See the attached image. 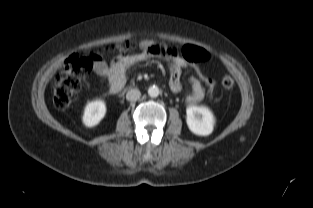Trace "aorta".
I'll use <instances>...</instances> for the list:
<instances>
[{
    "instance_id": "1",
    "label": "aorta",
    "mask_w": 313,
    "mask_h": 208,
    "mask_svg": "<svg viewBox=\"0 0 313 208\" xmlns=\"http://www.w3.org/2000/svg\"><path fill=\"white\" fill-rule=\"evenodd\" d=\"M148 94L151 97H157L159 95V88L157 86L149 87Z\"/></svg>"
}]
</instances>
